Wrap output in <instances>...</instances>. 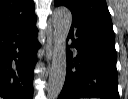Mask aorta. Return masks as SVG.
Here are the masks:
<instances>
[{
	"label": "aorta",
	"instance_id": "762f6f07",
	"mask_svg": "<svg viewBox=\"0 0 128 99\" xmlns=\"http://www.w3.org/2000/svg\"><path fill=\"white\" fill-rule=\"evenodd\" d=\"M54 54L47 85V97L57 99L63 88L66 77V39L72 24V14L64 6L57 7L53 16Z\"/></svg>",
	"mask_w": 128,
	"mask_h": 99
}]
</instances>
